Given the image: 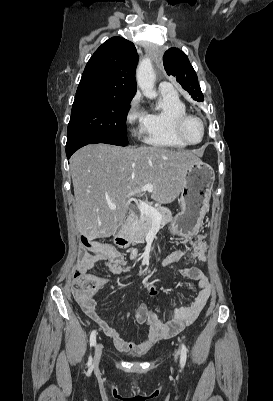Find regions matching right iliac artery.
Here are the masks:
<instances>
[{"label":"right iliac artery","instance_id":"obj_1","mask_svg":"<svg viewBox=\"0 0 273 401\" xmlns=\"http://www.w3.org/2000/svg\"><path fill=\"white\" fill-rule=\"evenodd\" d=\"M95 344H96V331L93 330L91 335H90V347L95 346ZM87 364H88V367H89L88 371L91 372L93 370V368H94V365H92V356L91 355L89 356Z\"/></svg>","mask_w":273,"mask_h":401}]
</instances>
